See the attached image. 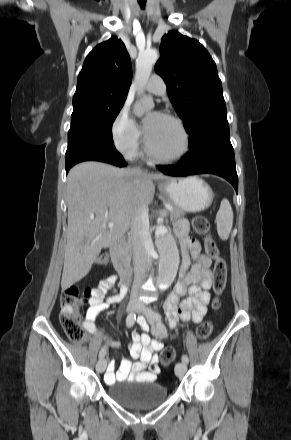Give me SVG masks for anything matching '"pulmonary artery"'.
Listing matches in <instances>:
<instances>
[{
    "instance_id": "1",
    "label": "pulmonary artery",
    "mask_w": 291,
    "mask_h": 440,
    "mask_svg": "<svg viewBox=\"0 0 291 440\" xmlns=\"http://www.w3.org/2000/svg\"><path fill=\"white\" fill-rule=\"evenodd\" d=\"M145 88L152 94L163 95L166 92V83L161 76L154 74L150 77Z\"/></svg>"
}]
</instances>
